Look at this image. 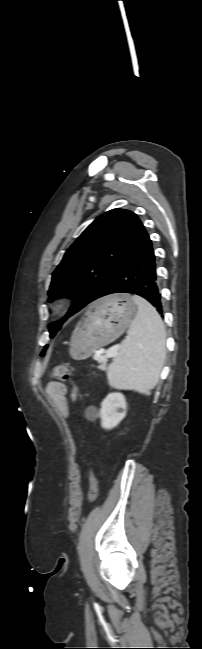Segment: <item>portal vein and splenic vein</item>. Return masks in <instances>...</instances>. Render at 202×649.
Segmentation results:
<instances>
[{
  "label": "portal vein and splenic vein",
  "mask_w": 202,
  "mask_h": 649,
  "mask_svg": "<svg viewBox=\"0 0 202 649\" xmlns=\"http://www.w3.org/2000/svg\"><path fill=\"white\" fill-rule=\"evenodd\" d=\"M115 356H116V352L114 350H109L106 355H96L95 359L100 362L105 360L106 358H112Z\"/></svg>",
  "instance_id": "1"
}]
</instances>
